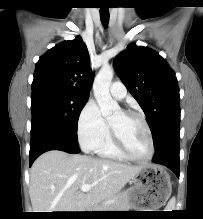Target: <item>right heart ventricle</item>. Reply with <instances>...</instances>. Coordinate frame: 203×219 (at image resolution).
I'll use <instances>...</instances> for the list:
<instances>
[{
    "label": "right heart ventricle",
    "instance_id": "e07e8e85",
    "mask_svg": "<svg viewBox=\"0 0 203 219\" xmlns=\"http://www.w3.org/2000/svg\"><path fill=\"white\" fill-rule=\"evenodd\" d=\"M97 154L104 158H110L115 160H125L126 158L120 153V151L116 148L111 130L108 125V132L102 142L99 144L97 149L95 150Z\"/></svg>",
    "mask_w": 203,
    "mask_h": 219
}]
</instances>
